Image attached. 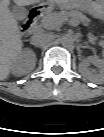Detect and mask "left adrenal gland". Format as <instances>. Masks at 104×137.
<instances>
[{
	"mask_svg": "<svg viewBox=\"0 0 104 137\" xmlns=\"http://www.w3.org/2000/svg\"><path fill=\"white\" fill-rule=\"evenodd\" d=\"M82 48H89V46H87V45H86V46H84V45H83V46H82Z\"/></svg>",
	"mask_w": 104,
	"mask_h": 137,
	"instance_id": "1",
	"label": "left adrenal gland"
}]
</instances>
